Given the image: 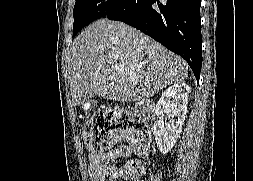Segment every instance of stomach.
<instances>
[{
    "label": "stomach",
    "mask_w": 253,
    "mask_h": 181,
    "mask_svg": "<svg viewBox=\"0 0 253 181\" xmlns=\"http://www.w3.org/2000/svg\"><path fill=\"white\" fill-rule=\"evenodd\" d=\"M94 105H95V101L89 100L82 105V109L85 111V113H87L94 107Z\"/></svg>",
    "instance_id": "0dacf381"
}]
</instances>
